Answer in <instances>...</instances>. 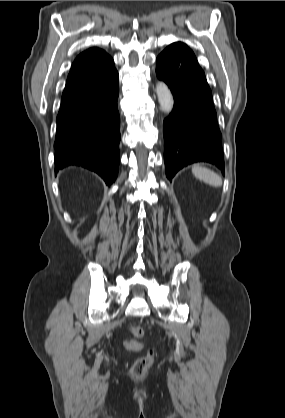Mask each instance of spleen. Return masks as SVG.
Masks as SVG:
<instances>
[{"label":"spleen","instance_id":"spleen-1","mask_svg":"<svg viewBox=\"0 0 285 418\" xmlns=\"http://www.w3.org/2000/svg\"><path fill=\"white\" fill-rule=\"evenodd\" d=\"M192 173L197 179L213 187L222 186V178L210 169H207L199 165H194L192 167Z\"/></svg>","mask_w":285,"mask_h":418}]
</instances>
